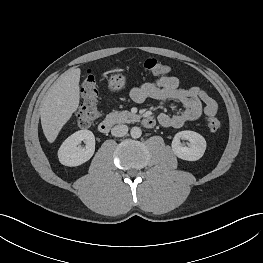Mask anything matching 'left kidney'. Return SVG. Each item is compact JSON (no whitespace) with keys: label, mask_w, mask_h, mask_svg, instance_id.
Returning <instances> with one entry per match:
<instances>
[{"label":"left kidney","mask_w":263,"mask_h":263,"mask_svg":"<svg viewBox=\"0 0 263 263\" xmlns=\"http://www.w3.org/2000/svg\"><path fill=\"white\" fill-rule=\"evenodd\" d=\"M180 139L189 141V146H183ZM172 151L183 160H199L206 150V141L202 135L194 131H181L177 133L172 141Z\"/></svg>","instance_id":"left-kidney-1"}]
</instances>
